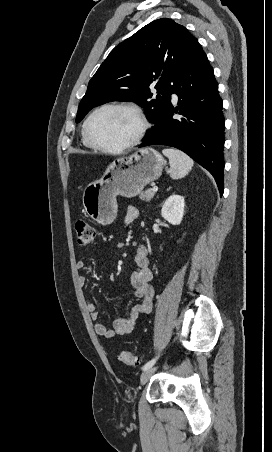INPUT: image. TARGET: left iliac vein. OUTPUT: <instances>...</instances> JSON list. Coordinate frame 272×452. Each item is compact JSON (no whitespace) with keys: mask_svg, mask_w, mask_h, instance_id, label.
<instances>
[{"mask_svg":"<svg viewBox=\"0 0 272 452\" xmlns=\"http://www.w3.org/2000/svg\"><path fill=\"white\" fill-rule=\"evenodd\" d=\"M157 367H150L146 370H144L140 376V384L144 385L146 382H148V380L151 378V376L154 374V372L156 371Z\"/></svg>","mask_w":272,"mask_h":452,"instance_id":"left-iliac-vein-1","label":"left iliac vein"}]
</instances>
